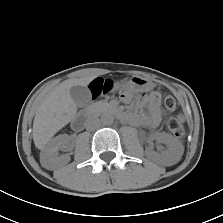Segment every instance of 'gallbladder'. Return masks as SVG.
<instances>
[{"mask_svg": "<svg viewBox=\"0 0 223 223\" xmlns=\"http://www.w3.org/2000/svg\"><path fill=\"white\" fill-rule=\"evenodd\" d=\"M70 95L78 106H86L90 103L91 93L86 86L75 85L70 89Z\"/></svg>", "mask_w": 223, "mask_h": 223, "instance_id": "bac80fb5", "label": "gallbladder"}]
</instances>
